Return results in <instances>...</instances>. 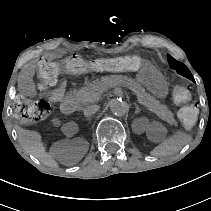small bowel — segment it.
I'll list each match as a JSON object with an SVG mask.
<instances>
[{"label":"small bowel","mask_w":211,"mask_h":211,"mask_svg":"<svg viewBox=\"0 0 211 211\" xmlns=\"http://www.w3.org/2000/svg\"><path fill=\"white\" fill-rule=\"evenodd\" d=\"M62 55H63L62 51H53L44 54L38 60H34L26 64L22 71L19 81L20 90L26 94L34 93L35 88L32 78L36 69L39 68V66L43 62L54 58H60L62 57ZM65 92H66V83L64 81H60L54 89L47 92H43L41 95L42 97L48 99L51 103L57 104L63 100Z\"/></svg>","instance_id":"small-bowel-1"}]
</instances>
